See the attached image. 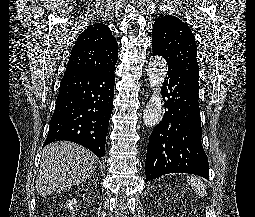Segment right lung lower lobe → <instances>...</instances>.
<instances>
[{
	"instance_id": "right-lung-lower-lobe-1",
	"label": "right lung lower lobe",
	"mask_w": 255,
	"mask_h": 217,
	"mask_svg": "<svg viewBox=\"0 0 255 217\" xmlns=\"http://www.w3.org/2000/svg\"><path fill=\"white\" fill-rule=\"evenodd\" d=\"M114 69L115 66L103 71H65L44 146L67 140L85 146L98 157L105 156Z\"/></svg>"
}]
</instances>
